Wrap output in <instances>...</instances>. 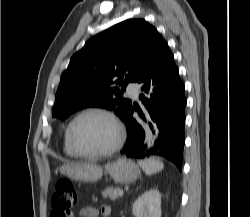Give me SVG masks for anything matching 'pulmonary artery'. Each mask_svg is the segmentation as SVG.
<instances>
[{
  "mask_svg": "<svg viewBox=\"0 0 250 217\" xmlns=\"http://www.w3.org/2000/svg\"><path fill=\"white\" fill-rule=\"evenodd\" d=\"M127 94L133 98L138 97L139 85L137 83H128L126 87Z\"/></svg>",
  "mask_w": 250,
  "mask_h": 217,
  "instance_id": "1",
  "label": "pulmonary artery"
}]
</instances>
